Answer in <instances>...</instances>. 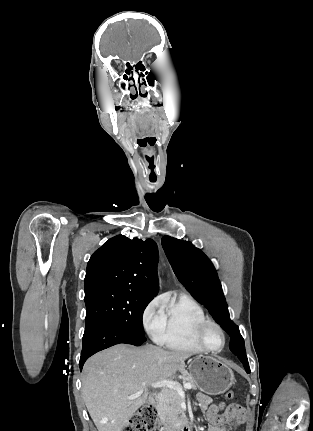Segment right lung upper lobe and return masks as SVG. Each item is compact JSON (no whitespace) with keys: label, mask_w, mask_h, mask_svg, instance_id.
Masks as SVG:
<instances>
[{"label":"right lung upper lobe","mask_w":313,"mask_h":431,"mask_svg":"<svg viewBox=\"0 0 313 431\" xmlns=\"http://www.w3.org/2000/svg\"><path fill=\"white\" fill-rule=\"evenodd\" d=\"M158 249L152 239L117 235L91 256L85 276V296L109 289H127L143 296L158 293Z\"/></svg>","instance_id":"right-lung-upper-lobe-1"}]
</instances>
